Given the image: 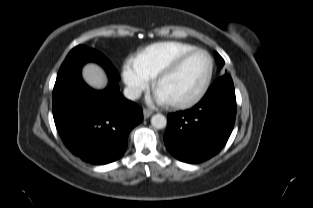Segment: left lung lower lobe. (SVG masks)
Masks as SVG:
<instances>
[{
    "mask_svg": "<svg viewBox=\"0 0 313 208\" xmlns=\"http://www.w3.org/2000/svg\"><path fill=\"white\" fill-rule=\"evenodd\" d=\"M236 97L229 75L217 79L190 110L168 115L164 142L180 161L200 163L216 155L234 127Z\"/></svg>",
    "mask_w": 313,
    "mask_h": 208,
    "instance_id": "obj_1",
    "label": "left lung lower lobe"
}]
</instances>
